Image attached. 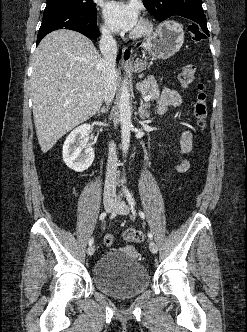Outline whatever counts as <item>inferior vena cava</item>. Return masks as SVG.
Instances as JSON below:
<instances>
[{
	"instance_id": "inferior-vena-cava-1",
	"label": "inferior vena cava",
	"mask_w": 247,
	"mask_h": 332,
	"mask_svg": "<svg viewBox=\"0 0 247 332\" xmlns=\"http://www.w3.org/2000/svg\"><path fill=\"white\" fill-rule=\"evenodd\" d=\"M100 51L103 55L101 61L102 76L104 79V101L107 105L113 100L116 92V70L115 62L118 48L111 32L107 29L102 30L100 39ZM117 154L114 143H110L107 171L104 187V199L116 198V173H117Z\"/></svg>"
}]
</instances>
